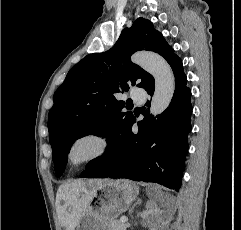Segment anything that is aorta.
I'll list each match as a JSON object with an SVG mask.
<instances>
[{"label":"aorta","instance_id":"obj_1","mask_svg":"<svg viewBox=\"0 0 241 230\" xmlns=\"http://www.w3.org/2000/svg\"><path fill=\"white\" fill-rule=\"evenodd\" d=\"M131 60L153 76L155 91L150 112L152 115L161 114L169 106L175 91V78L171 67L163 57L155 53L138 52Z\"/></svg>","mask_w":241,"mask_h":230}]
</instances>
